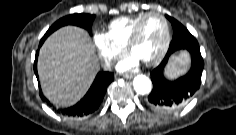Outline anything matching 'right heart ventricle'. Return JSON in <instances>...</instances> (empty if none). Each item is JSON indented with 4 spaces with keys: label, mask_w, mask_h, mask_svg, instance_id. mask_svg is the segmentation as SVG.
<instances>
[{
    "label": "right heart ventricle",
    "mask_w": 236,
    "mask_h": 135,
    "mask_svg": "<svg viewBox=\"0 0 236 135\" xmlns=\"http://www.w3.org/2000/svg\"><path fill=\"white\" fill-rule=\"evenodd\" d=\"M140 13L133 16H124L114 19L108 24L106 36L109 40L120 48H124L136 25V23L144 16Z\"/></svg>",
    "instance_id": "right-heart-ventricle-1"
}]
</instances>
